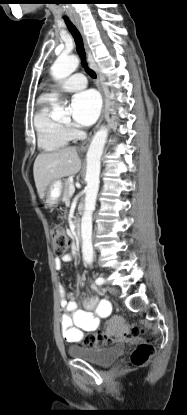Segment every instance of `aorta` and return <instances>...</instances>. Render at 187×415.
Segmentation results:
<instances>
[{
    "label": "aorta",
    "instance_id": "762f6f07",
    "mask_svg": "<svg viewBox=\"0 0 187 415\" xmlns=\"http://www.w3.org/2000/svg\"><path fill=\"white\" fill-rule=\"evenodd\" d=\"M79 60L76 56H59L51 66V75L55 80H62L70 76L78 67ZM65 115L63 107L53 104L52 117L61 118ZM108 130L100 128L94 135L87 152L86 167V196L84 213L81 220V237L83 259L87 263L93 261L92 246V214L96 206V198L99 190V175L101 169V156L107 140Z\"/></svg>",
    "mask_w": 187,
    "mask_h": 415
}]
</instances>
